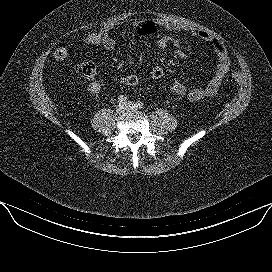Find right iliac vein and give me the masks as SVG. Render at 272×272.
Listing matches in <instances>:
<instances>
[{
    "label": "right iliac vein",
    "instance_id": "right-iliac-vein-1",
    "mask_svg": "<svg viewBox=\"0 0 272 272\" xmlns=\"http://www.w3.org/2000/svg\"><path fill=\"white\" fill-rule=\"evenodd\" d=\"M126 109V106L124 104H119L117 107H116V112L117 113H123Z\"/></svg>",
    "mask_w": 272,
    "mask_h": 272
}]
</instances>
